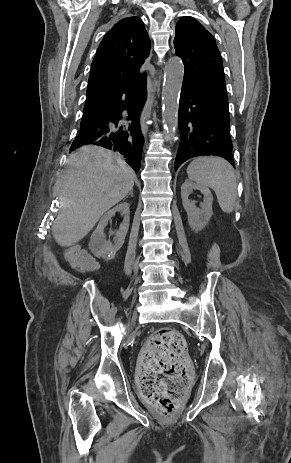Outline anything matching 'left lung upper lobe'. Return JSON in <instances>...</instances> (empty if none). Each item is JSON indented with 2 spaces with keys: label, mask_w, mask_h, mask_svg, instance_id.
Returning a JSON list of instances; mask_svg holds the SVG:
<instances>
[{
  "label": "left lung upper lobe",
  "mask_w": 291,
  "mask_h": 463,
  "mask_svg": "<svg viewBox=\"0 0 291 463\" xmlns=\"http://www.w3.org/2000/svg\"><path fill=\"white\" fill-rule=\"evenodd\" d=\"M174 47L185 66L182 87L229 112L223 63L214 37L197 20L185 16L177 22Z\"/></svg>",
  "instance_id": "obj_1"
}]
</instances>
